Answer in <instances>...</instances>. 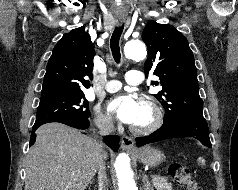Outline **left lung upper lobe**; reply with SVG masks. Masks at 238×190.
<instances>
[{
	"label": "left lung upper lobe",
	"instance_id": "1",
	"mask_svg": "<svg viewBox=\"0 0 238 190\" xmlns=\"http://www.w3.org/2000/svg\"><path fill=\"white\" fill-rule=\"evenodd\" d=\"M142 39L148 48L145 74L160 78L151 84L162 86L154 96L166 111L164 122L182 113L202 112L194 56L186 37L172 25L149 21Z\"/></svg>",
	"mask_w": 238,
	"mask_h": 190
}]
</instances>
